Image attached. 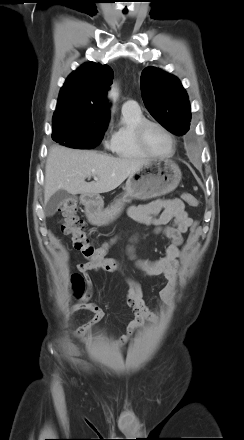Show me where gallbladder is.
Wrapping results in <instances>:
<instances>
[{"label": "gallbladder", "instance_id": "obj_1", "mask_svg": "<svg viewBox=\"0 0 244 440\" xmlns=\"http://www.w3.org/2000/svg\"><path fill=\"white\" fill-rule=\"evenodd\" d=\"M70 198V194L61 189L57 191L55 194H53L48 202L45 205V212L48 216H52L55 214L57 209L61 206L62 203H64L66 200Z\"/></svg>", "mask_w": 244, "mask_h": 440}]
</instances>
